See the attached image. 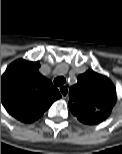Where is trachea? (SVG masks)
<instances>
[{"mask_svg": "<svg viewBox=\"0 0 122 154\" xmlns=\"http://www.w3.org/2000/svg\"><path fill=\"white\" fill-rule=\"evenodd\" d=\"M64 83H65V78L62 77V76L61 77H57V78L54 79V84L56 86H63Z\"/></svg>", "mask_w": 122, "mask_h": 154, "instance_id": "3493384b", "label": "trachea"}]
</instances>
